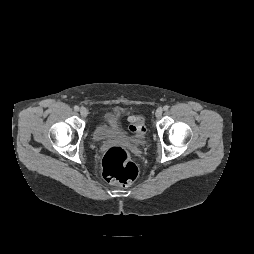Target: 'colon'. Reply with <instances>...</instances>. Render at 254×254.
Returning <instances> with one entry per match:
<instances>
[{
    "label": "colon",
    "instance_id": "obj_1",
    "mask_svg": "<svg viewBox=\"0 0 254 254\" xmlns=\"http://www.w3.org/2000/svg\"><path fill=\"white\" fill-rule=\"evenodd\" d=\"M130 131L142 134L145 130L144 120L140 116H133L129 127ZM104 178L113 183L130 185L138 175V169L131 160L129 152L121 146H112L102 159Z\"/></svg>",
    "mask_w": 254,
    "mask_h": 254
}]
</instances>
